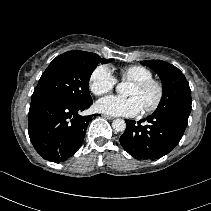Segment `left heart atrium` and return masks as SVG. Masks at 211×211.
I'll use <instances>...</instances> for the list:
<instances>
[{
  "label": "left heart atrium",
  "instance_id": "left-heart-atrium-1",
  "mask_svg": "<svg viewBox=\"0 0 211 211\" xmlns=\"http://www.w3.org/2000/svg\"><path fill=\"white\" fill-rule=\"evenodd\" d=\"M142 108L140 101L136 97L107 96L96 103V109L99 112L113 116H135Z\"/></svg>",
  "mask_w": 211,
  "mask_h": 211
}]
</instances>
